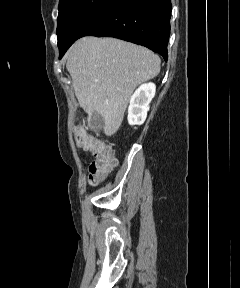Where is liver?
Returning a JSON list of instances; mask_svg holds the SVG:
<instances>
[{"instance_id": "liver-1", "label": "liver", "mask_w": 240, "mask_h": 288, "mask_svg": "<svg viewBox=\"0 0 240 288\" xmlns=\"http://www.w3.org/2000/svg\"><path fill=\"white\" fill-rule=\"evenodd\" d=\"M66 59L79 105L89 116L101 115L107 136L121 126L135 88L156 77L161 64L149 49L109 37L77 40Z\"/></svg>"}]
</instances>
